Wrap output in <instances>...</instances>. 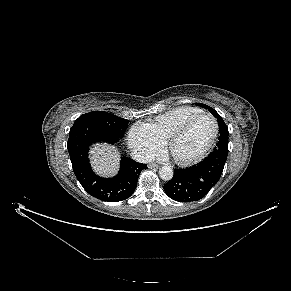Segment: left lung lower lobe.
I'll return each mask as SVG.
<instances>
[{
    "label": "left lung lower lobe",
    "mask_w": 291,
    "mask_h": 291,
    "mask_svg": "<svg viewBox=\"0 0 291 291\" xmlns=\"http://www.w3.org/2000/svg\"><path fill=\"white\" fill-rule=\"evenodd\" d=\"M228 154V139L219 137L217 147L200 164L174 169L173 178L164 185L165 193L178 202H192L205 197L219 181Z\"/></svg>",
    "instance_id": "1"
}]
</instances>
